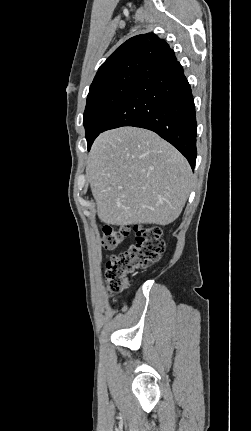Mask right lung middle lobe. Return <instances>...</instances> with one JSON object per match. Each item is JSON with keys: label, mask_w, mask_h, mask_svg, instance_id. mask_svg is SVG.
Instances as JSON below:
<instances>
[{"label": "right lung middle lobe", "mask_w": 251, "mask_h": 431, "mask_svg": "<svg viewBox=\"0 0 251 431\" xmlns=\"http://www.w3.org/2000/svg\"><path fill=\"white\" fill-rule=\"evenodd\" d=\"M148 63L138 61L127 64L91 84L83 120L88 149L103 131L110 116L136 86Z\"/></svg>", "instance_id": "dd1d6c3e"}]
</instances>
